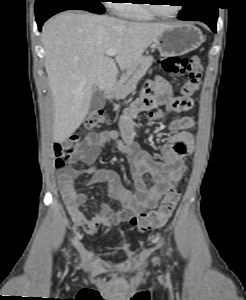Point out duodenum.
<instances>
[{"instance_id": "1", "label": "duodenum", "mask_w": 246, "mask_h": 300, "mask_svg": "<svg viewBox=\"0 0 246 300\" xmlns=\"http://www.w3.org/2000/svg\"><path fill=\"white\" fill-rule=\"evenodd\" d=\"M104 96H105V98H111L112 97V89L107 88L104 92Z\"/></svg>"}]
</instances>
